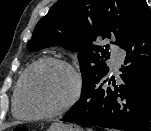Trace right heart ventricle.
Returning <instances> with one entry per match:
<instances>
[{"label":"right heart ventricle","mask_w":151,"mask_h":131,"mask_svg":"<svg viewBox=\"0 0 151 131\" xmlns=\"http://www.w3.org/2000/svg\"><path fill=\"white\" fill-rule=\"evenodd\" d=\"M20 80H21V78L19 79V81H18V83L15 87L13 97H12V113L15 117H19V115L17 114L16 108H15V98H16L17 91H18V88H19Z\"/></svg>","instance_id":"right-heart-ventricle-1"}]
</instances>
